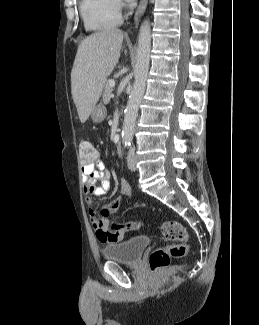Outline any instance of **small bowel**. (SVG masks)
Segmentation results:
<instances>
[{"label": "small bowel", "mask_w": 259, "mask_h": 325, "mask_svg": "<svg viewBox=\"0 0 259 325\" xmlns=\"http://www.w3.org/2000/svg\"><path fill=\"white\" fill-rule=\"evenodd\" d=\"M81 176L90 220L94 227L97 239L102 243H115L122 241L125 231L109 230L108 220L105 217H100L93 207L92 196H105L111 187L110 172L106 169L97 150L93 161L89 163L81 162ZM120 193L124 196L131 195V186L125 179L120 181Z\"/></svg>", "instance_id": "c3829d8e"}]
</instances>
